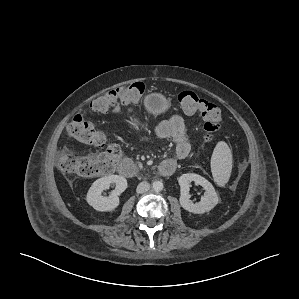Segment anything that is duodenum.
I'll return each instance as SVG.
<instances>
[{"label": "duodenum", "instance_id": "obj_1", "mask_svg": "<svg viewBox=\"0 0 299 299\" xmlns=\"http://www.w3.org/2000/svg\"><path fill=\"white\" fill-rule=\"evenodd\" d=\"M176 169V163L173 160L162 161L157 168L158 173L161 176H170ZM118 171L121 175L126 177H133L136 174L134 165L129 160H122L118 165Z\"/></svg>", "mask_w": 299, "mask_h": 299}]
</instances>
